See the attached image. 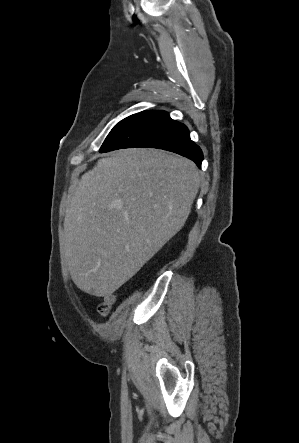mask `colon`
Returning a JSON list of instances; mask_svg holds the SVG:
<instances>
[{"instance_id":"5ec220e1","label":"colon","mask_w":299,"mask_h":443,"mask_svg":"<svg viewBox=\"0 0 299 443\" xmlns=\"http://www.w3.org/2000/svg\"><path fill=\"white\" fill-rule=\"evenodd\" d=\"M115 301H116V294L113 293L107 295L98 307L99 313L103 316L108 315Z\"/></svg>"}]
</instances>
